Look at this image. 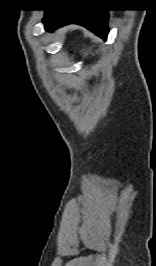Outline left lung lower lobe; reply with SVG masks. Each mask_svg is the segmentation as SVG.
<instances>
[{"instance_id": "left-lung-lower-lobe-1", "label": "left lung lower lobe", "mask_w": 156, "mask_h": 266, "mask_svg": "<svg viewBox=\"0 0 156 266\" xmlns=\"http://www.w3.org/2000/svg\"><path fill=\"white\" fill-rule=\"evenodd\" d=\"M43 22L48 30L70 23H77L104 39L108 35V11L106 9L45 10Z\"/></svg>"}]
</instances>
